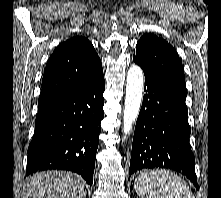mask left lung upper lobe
<instances>
[{"mask_svg":"<svg viewBox=\"0 0 221 198\" xmlns=\"http://www.w3.org/2000/svg\"><path fill=\"white\" fill-rule=\"evenodd\" d=\"M133 60L159 82L185 100V76L175 49L154 34H144L137 43Z\"/></svg>","mask_w":221,"mask_h":198,"instance_id":"obj_1","label":"left lung upper lobe"}]
</instances>
